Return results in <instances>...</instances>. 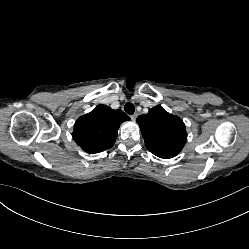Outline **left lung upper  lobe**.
<instances>
[{
  "instance_id": "5c2ea615",
  "label": "left lung upper lobe",
  "mask_w": 249,
  "mask_h": 249,
  "mask_svg": "<svg viewBox=\"0 0 249 249\" xmlns=\"http://www.w3.org/2000/svg\"><path fill=\"white\" fill-rule=\"evenodd\" d=\"M146 148L160 158H172L184 147L187 133L183 121L160 105L136 119Z\"/></svg>"
}]
</instances>
